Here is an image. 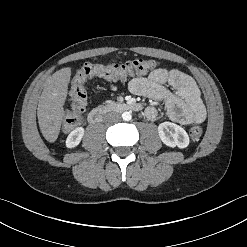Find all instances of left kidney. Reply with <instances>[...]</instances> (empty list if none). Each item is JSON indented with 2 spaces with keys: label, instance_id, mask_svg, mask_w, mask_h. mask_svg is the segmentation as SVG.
<instances>
[{
  "label": "left kidney",
  "instance_id": "left-kidney-1",
  "mask_svg": "<svg viewBox=\"0 0 247 247\" xmlns=\"http://www.w3.org/2000/svg\"><path fill=\"white\" fill-rule=\"evenodd\" d=\"M158 133L161 141L169 147L186 148L189 145L187 132L177 124L163 122L158 126Z\"/></svg>",
  "mask_w": 247,
  "mask_h": 247
}]
</instances>
